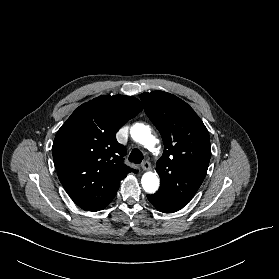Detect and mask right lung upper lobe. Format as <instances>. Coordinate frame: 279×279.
I'll return each mask as SVG.
<instances>
[{"label": "right lung upper lobe", "mask_w": 279, "mask_h": 279, "mask_svg": "<svg viewBox=\"0 0 279 279\" xmlns=\"http://www.w3.org/2000/svg\"><path fill=\"white\" fill-rule=\"evenodd\" d=\"M142 109L133 96H99L80 105L57 132L54 165L64 189L80 208L104 209L120 181L137 172L123 163L125 148L115 134Z\"/></svg>", "instance_id": "obj_1"}]
</instances>
